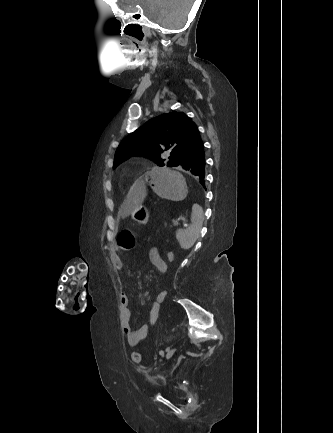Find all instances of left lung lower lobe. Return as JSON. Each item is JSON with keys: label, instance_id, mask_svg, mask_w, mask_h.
I'll list each match as a JSON object with an SVG mask.
<instances>
[{"label": "left lung lower lobe", "instance_id": "left-lung-lower-lobe-1", "mask_svg": "<svg viewBox=\"0 0 333 433\" xmlns=\"http://www.w3.org/2000/svg\"><path fill=\"white\" fill-rule=\"evenodd\" d=\"M205 152L203 141L192 148L176 165L196 176L202 185L205 183Z\"/></svg>", "mask_w": 333, "mask_h": 433}]
</instances>
